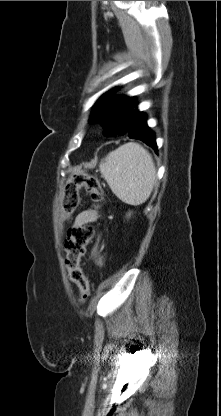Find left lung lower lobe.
Wrapping results in <instances>:
<instances>
[{
    "instance_id": "left-lung-lower-lobe-1",
    "label": "left lung lower lobe",
    "mask_w": 221,
    "mask_h": 416,
    "mask_svg": "<svg viewBox=\"0 0 221 416\" xmlns=\"http://www.w3.org/2000/svg\"><path fill=\"white\" fill-rule=\"evenodd\" d=\"M127 136L131 139H138L146 143L157 153V145L154 132L146 124V115L136 111L132 118Z\"/></svg>"
}]
</instances>
